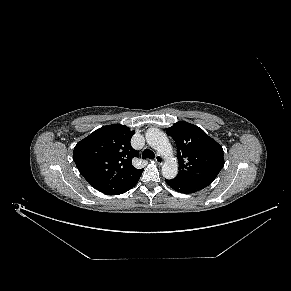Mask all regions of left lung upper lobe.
<instances>
[{"mask_svg":"<svg viewBox=\"0 0 291 291\" xmlns=\"http://www.w3.org/2000/svg\"><path fill=\"white\" fill-rule=\"evenodd\" d=\"M166 132L177 146L179 172L174 179L212 183L224 165L222 147L201 128L187 122H177Z\"/></svg>","mask_w":291,"mask_h":291,"instance_id":"5c2ea615","label":"left lung upper lobe"}]
</instances>
